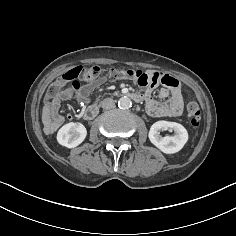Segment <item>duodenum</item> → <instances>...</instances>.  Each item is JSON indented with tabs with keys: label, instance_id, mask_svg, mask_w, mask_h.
Returning a JSON list of instances; mask_svg holds the SVG:
<instances>
[{
	"label": "duodenum",
	"instance_id": "1",
	"mask_svg": "<svg viewBox=\"0 0 236 236\" xmlns=\"http://www.w3.org/2000/svg\"><path fill=\"white\" fill-rule=\"evenodd\" d=\"M132 100H134L135 102H140L142 100V98L140 96H138L137 94H132L131 95ZM98 104L97 103H93L90 106H88L85 111H84V118L85 119H92L94 118L97 113H98Z\"/></svg>",
	"mask_w": 236,
	"mask_h": 236
}]
</instances>
